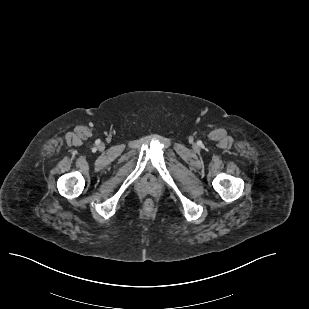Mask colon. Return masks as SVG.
I'll list each match as a JSON object with an SVG mask.
<instances>
[{"instance_id":"obj_1","label":"colon","mask_w":309,"mask_h":309,"mask_svg":"<svg viewBox=\"0 0 309 309\" xmlns=\"http://www.w3.org/2000/svg\"><path fill=\"white\" fill-rule=\"evenodd\" d=\"M146 204H147V206L151 207L153 205V202H152V200L149 199V200H147Z\"/></svg>"}]
</instances>
